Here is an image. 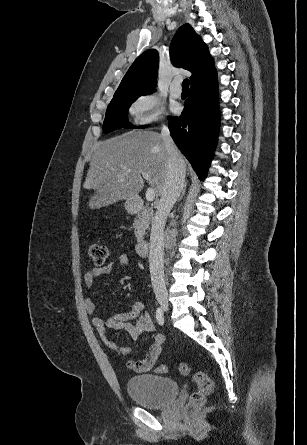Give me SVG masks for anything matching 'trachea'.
Segmentation results:
<instances>
[{
    "mask_svg": "<svg viewBox=\"0 0 307 445\" xmlns=\"http://www.w3.org/2000/svg\"><path fill=\"white\" fill-rule=\"evenodd\" d=\"M182 88H183V89H188V88H189V80H188V78H185V79L183 80Z\"/></svg>",
    "mask_w": 307,
    "mask_h": 445,
    "instance_id": "3493384b",
    "label": "trachea"
}]
</instances>
